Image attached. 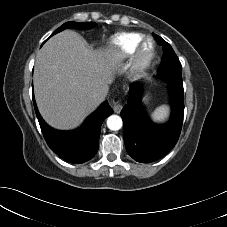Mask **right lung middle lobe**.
Wrapping results in <instances>:
<instances>
[{
  "instance_id": "1",
  "label": "right lung middle lobe",
  "mask_w": 227,
  "mask_h": 227,
  "mask_svg": "<svg viewBox=\"0 0 227 227\" xmlns=\"http://www.w3.org/2000/svg\"><path fill=\"white\" fill-rule=\"evenodd\" d=\"M94 25H95L94 22H66L61 27H59L56 31H54L51 36L65 30L67 28L89 29V28L93 27Z\"/></svg>"
}]
</instances>
